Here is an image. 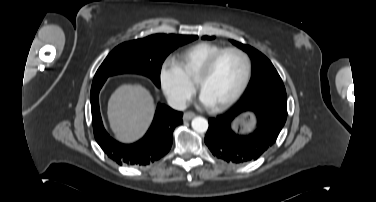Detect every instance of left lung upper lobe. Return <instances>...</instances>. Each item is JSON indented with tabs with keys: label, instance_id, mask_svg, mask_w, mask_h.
<instances>
[{
	"label": "left lung upper lobe",
	"instance_id": "obj_1",
	"mask_svg": "<svg viewBox=\"0 0 376 202\" xmlns=\"http://www.w3.org/2000/svg\"><path fill=\"white\" fill-rule=\"evenodd\" d=\"M202 38L206 40L214 39L213 36H203ZM231 42L247 52L253 60L252 78L241 101H246L261 95H268L287 101L284 84L270 60L249 45H244L234 40Z\"/></svg>",
	"mask_w": 376,
	"mask_h": 202
}]
</instances>
